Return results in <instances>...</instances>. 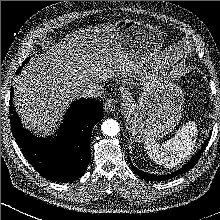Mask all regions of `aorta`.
Returning a JSON list of instances; mask_svg holds the SVG:
<instances>
[{
	"label": "aorta",
	"instance_id": "obj_1",
	"mask_svg": "<svg viewBox=\"0 0 220 220\" xmlns=\"http://www.w3.org/2000/svg\"><path fill=\"white\" fill-rule=\"evenodd\" d=\"M101 129L104 134L113 137L119 133V124L116 120L108 119L102 123Z\"/></svg>",
	"mask_w": 220,
	"mask_h": 220
}]
</instances>
